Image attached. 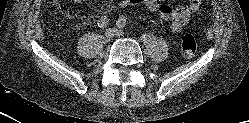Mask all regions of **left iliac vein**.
<instances>
[{
    "label": "left iliac vein",
    "instance_id": "left-iliac-vein-1",
    "mask_svg": "<svg viewBox=\"0 0 249 123\" xmlns=\"http://www.w3.org/2000/svg\"><path fill=\"white\" fill-rule=\"evenodd\" d=\"M114 31H115L116 36H123L124 35V33L119 29H114Z\"/></svg>",
    "mask_w": 249,
    "mask_h": 123
}]
</instances>
